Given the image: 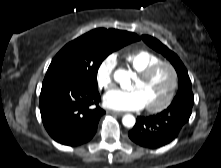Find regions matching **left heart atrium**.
Here are the masks:
<instances>
[{"mask_svg": "<svg viewBox=\"0 0 221 168\" xmlns=\"http://www.w3.org/2000/svg\"><path fill=\"white\" fill-rule=\"evenodd\" d=\"M104 105L113 110L131 111L144 108L145 101L138 90H112L105 94Z\"/></svg>", "mask_w": 221, "mask_h": 168, "instance_id": "left-heart-atrium-1", "label": "left heart atrium"}]
</instances>
